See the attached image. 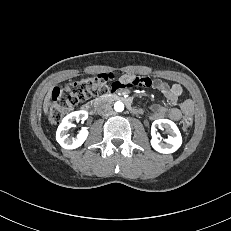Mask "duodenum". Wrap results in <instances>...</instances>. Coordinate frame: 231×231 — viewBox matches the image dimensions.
<instances>
[{
	"mask_svg": "<svg viewBox=\"0 0 231 231\" xmlns=\"http://www.w3.org/2000/svg\"><path fill=\"white\" fill-rule=\"evenodd\" d=\"M106 101H121L124 102L126 105L130 106L133 110H137L135 107L132 106L133 103L132 99L122 94H106L101 98L84 105L83 110L87 112L89 115H93L96 112L98 106L102 102H106Z\"/></svg>",
	"mask_w": 231,
	"mask_h": 231,
	"instance_id": "410a0bca",
	"label": "duodenum"
}]
</instances>
